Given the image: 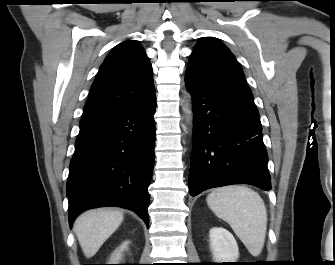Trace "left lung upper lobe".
Segmentation results:
<instances>
[{
  "label": "left lung upper lobe",
  "mask_w": 335,
  "mask_h": 265,
  "mask_svg": "<svg viewBox=\"0 0 335 265\" xmlns=\"http://www.w3.org/2000/svg\"><path fill=\"white\" fill-rule=\"evenodd\" d=\"M186 71L212 86L253 101L236 58L223 43L213 38H204L195 46Z\"/></svg>",
  "instance_id": "left-lung-upper-lobe-1"
}]
</instances>
